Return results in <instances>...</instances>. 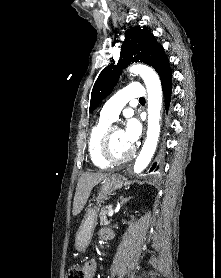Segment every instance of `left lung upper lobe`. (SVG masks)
<instances>
[{"label": "left lung upper lobe", "mask_w": 221, "mask_h": 278, "mask_svg": "<svg viewBox=\"0 0 221 278\" xmlns=\"http://www.w3.org/2000/svg\"><path fill=\"white\" fill-rule=\"evenodd\" d=\"M138 61L152 66L157 72L169 62L163 47L151 32L133 27L126 31L117 65L110 64L98 76L91 93L90 112L112 92L121 70Z\"/></svg>", "instance_id": "obj_1"}]
</instances>
